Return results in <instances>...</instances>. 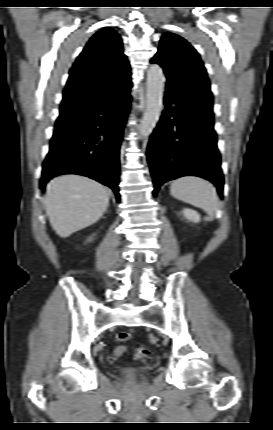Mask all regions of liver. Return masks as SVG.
Returning <instances> with one entry per match:
<instances>
[{
	"mask_svg": "<svg viewBox=\"0 0 273 430\" xmlns=\"http://www.w3.org/2000/svg\"><path fill=\"white\" fill-rule=\"evenodd\" d=\"M44 204L51 226L66 238L97 222L109 205V197L100 183L69 174L48 183Z\"/></svg>",
	"mask_w": 273,
	"mask_h": 430,
	"instance_id": "1",
	"label": "liver"
}]
</instances>
